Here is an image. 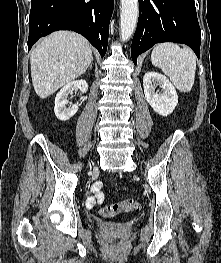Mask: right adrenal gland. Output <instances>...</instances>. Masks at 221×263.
<instances>
[{"label":"right adrenal gland","instance_id":"obj_1","mask_svg":"<svg viewBox=\"0 0 221 263\" xmlns=\"http://www.w3.org/2000/svg\"><path fill=\"white\" fill-rule=\"evenodd\" d=\"M92 68V64L90 65V69Z\"/></svg>","mask_w":221,"mask_h":263}]
</instances>
